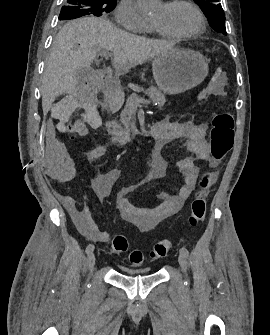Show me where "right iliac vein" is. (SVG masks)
Segmentation results:
<instances>
[{
    "instance_id": "obj_1",
    "label": "right iliac vein",
    "mask_w": 270,
    "mask_h": 335,
    "mask_svg": "<svg viewBox=\"0 0 270 335\" xmlns=\"http://www.w3.org/2000/svg\"><path fill=\"white\" fill-rule=\"evenodd\" d=\"M95 264V255L93 252H91L88 256V265L89 268L92 270Z\"/></svg>"
}]
</instances>
